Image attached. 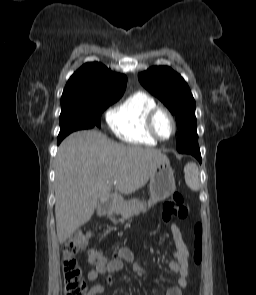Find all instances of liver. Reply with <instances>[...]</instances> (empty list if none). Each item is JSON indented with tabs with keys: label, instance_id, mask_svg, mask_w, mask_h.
Listing matches in <instances>:
<instances>
[{
	"label": "liver",
	"instance_id": "liver-1",
	"mask_svg": "<svg viewBox=\"0 0 256 295\" xmlns=\"http://www.w3.org/2000/svg\"><path fill=\"white\" fill-rule=\"evenodd\" d=\"M168 160L159 150L126 146L96 130L77 131L60 144L55 161V217L64 243L92 217L99 202L116 192L144 187L157 165Z\"/></svg>",
	"mask_w": 256,
	"mask_h": 295
}]
</instances>
